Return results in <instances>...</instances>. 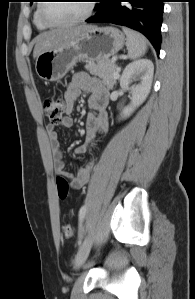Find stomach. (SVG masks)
<instances>
[{
  "mask_svg": "<svg viewBox=\"0 0 195 299\" xmlns=\"http://www.w3.org/2000/svg\"><path fill=\"white\" fill-rule=\"evenodd\" d=\"M125 40L115 27L91 26L68 44L41 53L36 59V73L45 81H58L78 61L109 59L122 49Z\"/></svg>",
  "mask_w": 195,
  "mask_h": 299,
  "instance_id": "obj_1",
  "label": "stomach"
}]
</instances>
